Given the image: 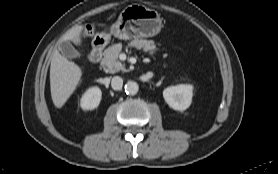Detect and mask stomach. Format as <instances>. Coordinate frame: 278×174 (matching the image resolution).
<instances>
[{
	"label": "stomach",
	"instance_id": "1",
	"mask_svg": "<svg viewBox=\"0 0 278 174\" xmlns=\"http://www.w3.org/2000/svg\"><path fill=\"white\" fill-rule=\"evenodd\" d=\"M161 27L162 19L157 11L144 5L132 4L120 13L110 28V34L102 35L107 39L113 35L123 40L153 37L160 32Z\"/></svg>",
	"mask_w": 278,
	"mask_h": 174
}]
</instances>
